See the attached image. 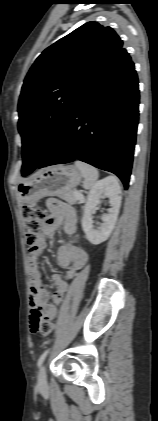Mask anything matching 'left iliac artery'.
<instances>
[{"mask_svg":"<svg viewBox=\"0 0 158 421\" xmlns=\"http://www.w3.org/2000/svg\"><path fill=\"white\" fill-rule=\"evenodd\" d=\"M49 350H50V349L45 350V351L43 352V354L39 357L38 362H37L38 367H40V366L42 365V363H43V361L45 360V358H46L47 354L49 353Z\"/></svg>","mask_w":158,"mask_h":421,"instance_id":"obj_1","label":"left iliac artery"}]
</instances>
